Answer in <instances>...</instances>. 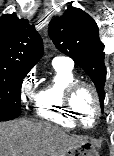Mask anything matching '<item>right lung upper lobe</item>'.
I'll list each match as a JSON object with an SVG mask.
<instances>
[{
	"label": "right lung upper lobe",
	"instance_id": "obj_1",
	"mask_svg": "<svg viewBox=\"0 0 114 156\" xmlns=\"http://www.w3.org/2000/svg\"><path fill=\"white\" fill-rule=\"evenodd\" d=\"M42 54L41 37L28 20L15 13L0 17V69L29 72Z\"/></svg>",
	"mask_w": 114,
	"mask_h": 156
}]
</instances>
